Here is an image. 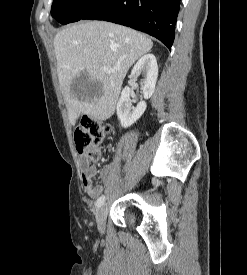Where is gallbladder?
<instances>
[{
  "instance_id": "gallbladder-1",
  "label": "gallbladder",
  "mask_w": 247,
  "mask_h": 275,
  "mask_svg": "<svg viewBox=\"0 0 247 275\" xmlns=\"http://www.w3.org/2000/svg\"><path fill=\"white\" fill-rule=\"evenodd\" d=\"M100 83L98 81H92L87 77V74L82 72L80 76L76 77L72 82V90L78 94L87 92L89 95H93L98 91Z\"/></svg>"
}]
</instances>
